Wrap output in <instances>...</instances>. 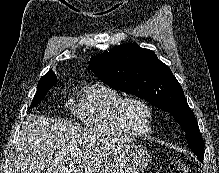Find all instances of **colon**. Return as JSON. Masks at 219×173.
I'll return each instance as SVG.
<instances>
[{
	"label": "colon",
	"instance_id": "obj_1",
	"mask_svg": "<svg viewBox=\"0 0 219 173\" xmlns=\"http://www.w3.org/2000/svg\"><path fill=\"white\" fill-rule=\"evenodd\" d=\"M169 167L171 173H188L189 171L188 165L182 159L171 160Z\"/></svg>",
	"mask_w": 219,
	"mask_h": 173
}]
</instances>
